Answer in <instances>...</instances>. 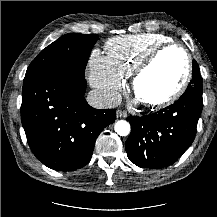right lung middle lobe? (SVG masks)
<instances>
[{
	"instance_id": "dd1d6c3e",
	"label": "right lung middle lobe",
	"mask_w": 217,
	"mask_h": 217,
	"mask_svg": "<svg viewBox=\"0 0 217 217\" xmlns=\"http://www.w3.org/2000/svg\"><path fill=\"white\" fill-rule=\"evenodd\" d=\"M97 39V34L63 35L39 53L29 65L25 77L56 62L67 63L78 75L84 76L88 57Z\"/></svg>"
}]
</instances>
